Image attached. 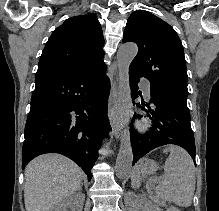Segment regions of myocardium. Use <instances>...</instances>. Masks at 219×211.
Instances as JSON below:
<instances>
[{
	"label": "myocardium",
	"mask_w": 219,
	"mask_h": 211,
	"mask_svg": "<svg viewBox=\"0 0 219 211\" xmlns=\"http://www.w3.org/2000/svg\"><path fill=\"white\" fill-rule=\"evenodd\" d=\"M148 123H149L148 121H145V122H144V125H148Z\"/></svg>",
	"instance_id": "obj_1"
}]
</instances>
